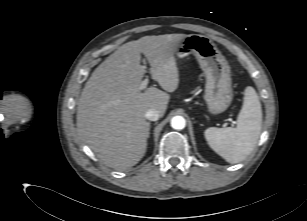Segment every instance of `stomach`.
Segmentation results:
<instances>
[{"instance_id": "stomach-1", "label": "stomach", "mask_w": 307, "mask_h": 221, "mask_svg": "<svg viewBox=\"0 0 307 221\" xmlns=\"http://www.w3.org/2000/svg\"><path fill=\"white\" fill-rule=\"evenodd\" d=\"M175 54L179 58L194 54L206 76L204 99L208 111L213 115L224 112L233 99L231 71L216 45L206 36L186 35L178 43Z\"/></svg>"}]
</instances>
